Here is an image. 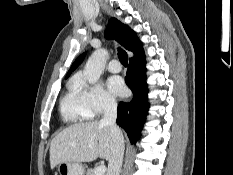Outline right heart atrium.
<instances>
[{
	"label": "right heart atrium",
	"mask_w": 233,
	"mask_h": 175,
	"mask_svg": "<svg viewBox=\"0 0 233 175\" xmlns=\"http://www.w3.org/2000/svg\"><path fill=\"white\" fill-rule=\"evenodd\" d=\"M91 108L93 116L109 113L117 108L116 98L101 84H88L83 79H75Z\"/></svg>",
	"instance_id": "right-heart-atrium-1"
}]
</instances>
